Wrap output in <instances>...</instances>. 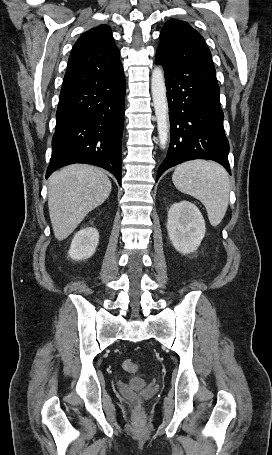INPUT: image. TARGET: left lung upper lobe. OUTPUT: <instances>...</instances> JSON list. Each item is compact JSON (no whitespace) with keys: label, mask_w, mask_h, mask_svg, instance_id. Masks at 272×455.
I'll return each instance as SVG.
<instances>
[{"label":"left lung upper lobe","mask_w":272,"mask_h":455,"mask_svg":"<svg viewBox=\"0 0 272 455\" xmlns=\"http://www.w3.org/2000/svg\"><path fill=\"white\" fill-rule=\"evenodd\" d=\"M156 57L169 68L195 66L215 70L204 38L187 22L177 19L163 26Z\"/></svg>","instance_id":"1"}]
</instances>
